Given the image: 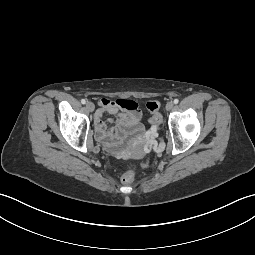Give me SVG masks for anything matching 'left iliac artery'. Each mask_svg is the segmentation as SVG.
I'll list each match as a JSON object with an SVG mask.
<instances>
[{
	"label": "left iliac artery",
	"instance_id": "1",
	"mask_svg": "<svg viewBox=\"0 0 255 255\" xmlns=\"http://www.w3.org/2000/svg\"><path fill=\"white\" fill-rule=\"evenodd\" d=\"M174 104H178L179 100L178 99H174Z\"/></svg>",
	"mask_w": 255,
	"mask_h": 255
}]
</instances>
